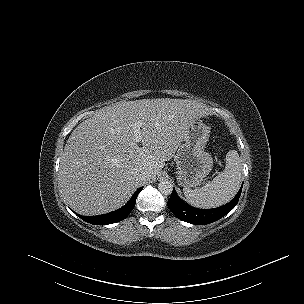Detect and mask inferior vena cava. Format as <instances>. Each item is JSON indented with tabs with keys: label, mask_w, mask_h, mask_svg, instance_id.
<instances>
[{
	"label": "inferior vena cava",
	"mask_w": 304,
	"mask_h": 304,
	"mask_svg": "<svg viewBox=\"0 0 304 304\" xmlns=\"http://www.w3.org/2000/svg\"><path fill=\"white\" fill-rule=\"evenodd\" d=\"M148 176L149 174L145 170L140 169L137 171V177L142 181H146L148 179Z\"/></svg>",
	"instance_id": "1"
}]
</instances>
